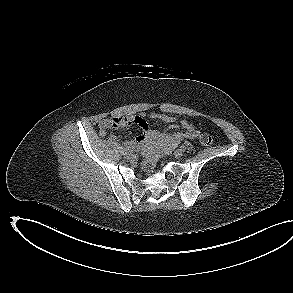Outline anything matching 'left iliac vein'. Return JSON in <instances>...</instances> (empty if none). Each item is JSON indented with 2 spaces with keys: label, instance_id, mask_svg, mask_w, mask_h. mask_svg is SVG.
I'll return each mask as SVG.
<instances>
[{
  "label": "left iliac vein",
  "instance_id": "obj_1",
  "mask_svg": "<svg viewBox=\"0 0 293 293\" xmlns=\"http://www.w3.org/2000/svg\"><path fill=\"white\" fill-rule=\"evenodd\" d=\"M174 155L176 158H181L182 155H183V151L181 149H177L175 152H174Z\"/></svg>",
  "mask_w": 293,
  "mask_h": 293
}]
</instances>
